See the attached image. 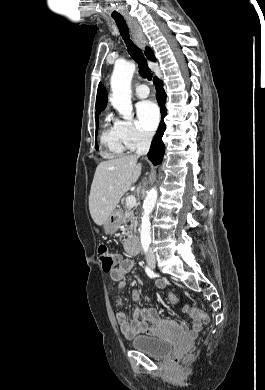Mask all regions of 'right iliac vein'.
<instances>
[{"label":"right iliac vein","mask_w":265,"mask_h":390,"mask_svg":"<svg viewBox=\"0 0 265 390\" xmlns=\"http://www.w3.org/2000/svg\"><path fill=\"white\" fill-rule=\"evenodd\" d=\"M148 264L152 267L155 268L156 265V260L154 257H147Z\"/></svg>","instance_id":"right-iliac-vein-1"}]
</instances>
